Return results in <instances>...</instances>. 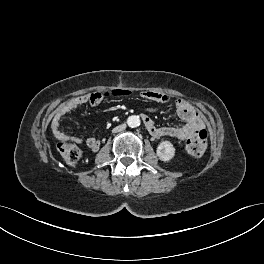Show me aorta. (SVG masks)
<instances>
[{
	"mask_svg": "<svg viewBox=\"0 0 264 264\" xmlns=\"http://www.w3.org/2000/svg\"><path fill=\"white\" fill-rule=\"evenodd\" d=\"M127 124L131 128L138 127L140 125V118L136 115L129 116L127 119Z\"/></svg>",
	"mask_w": 264,
	"mask_h": 264,
	"instance_id": "1",
	"label": "aorta"
}]
</instances>
